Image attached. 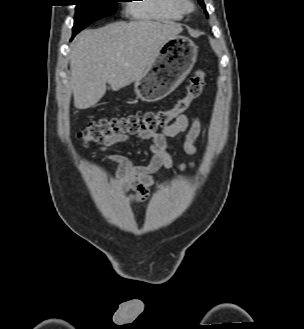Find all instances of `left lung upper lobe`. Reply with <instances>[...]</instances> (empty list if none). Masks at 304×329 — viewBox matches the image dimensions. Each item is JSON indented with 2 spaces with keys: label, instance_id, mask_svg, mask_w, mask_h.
Listing matches in <instances>:
<instances>
[{
  "label": "left lung upper lobe",
  "instance_id": "5c2ea615",
  "mask_svg": "<svg viewBox=\"0 0 304 329\" xmlns=\"http://www.w3.org/2000/svg\"><path fill=\"white\" fill-rule=\"evenodd\" d=\"M198 2L204 8V10L206 11V7H205V4H204L203 0H198ZM206 15H208L207 12H206Z\"/></svg>",
  "mask_w": 304,
  "mask_h": 329
}]
</instances>
